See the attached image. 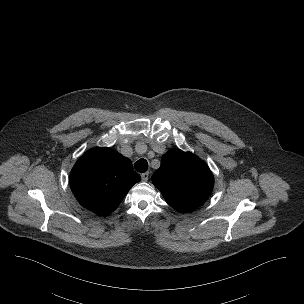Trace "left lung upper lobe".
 I'll use <instances>...</instances> for the list:
<instances>
[{"label":"left lung upper lobe","mask_w":304,"mask_h":304,"mask_svg":"<svg viewBox=\"0 0 304 304\" xmlns=\"http://www.w3.org/2000/svg\"><path fill=\"white\" fill-rule=\"evenodd\" d=\"M152 182L172 208L189 212L207 200L214 178L207 164L194 154L171 150L162 157Z\"/></svg>","instance_id":"left-lung-upper-lobe-1"}]
</instances>
